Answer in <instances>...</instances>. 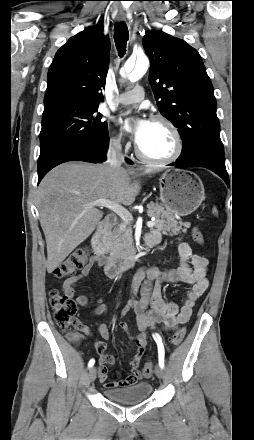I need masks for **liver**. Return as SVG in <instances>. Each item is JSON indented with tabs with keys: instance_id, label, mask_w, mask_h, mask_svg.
Segmentation results:
<instances>
[{
	"instance_id": "obj_1",
	"label": "liver",
	"mask_w": 254,
	"mask_h": 440,
	"mask_svg": "<svg viewBox=\"0 0 254 440\" xmlns=\"http://www.w3.org/2000/svg\"><path fill=\"white\" fill-rule=\"evenodd\" d=\"M153 172L113 169L108 163L69 162L51 170L37 191L39 220L47 245V271L51 273L95 230L103 212L86 204L108 199L131 205L141 190L135 179Z\"/></svg>"
}]
</instances>
